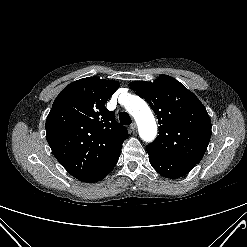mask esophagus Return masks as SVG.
Returning <instances> with one entry per match:
<instances>
[{"label":"esophagus","mask_w":247,"mask_h":247,"mask_svg":"<svg viewBox=\"0 0 247 247\" xmlns=\"http://www.w3.org/2000/svg\"><path fill=\"white\" fill-rule=\"evenodd\" d=\"M136 128H137V126H136L135 122L130 125V129H131L132 132H135Z\"/></svg>","instance_id":"esophagus-1"}]
</instances>
